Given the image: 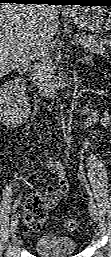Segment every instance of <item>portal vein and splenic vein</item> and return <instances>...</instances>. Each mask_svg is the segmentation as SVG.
Segmentation results:
<instances>
[{
	"instance_id": "1",
	"label": "portal vein and splenic vein",
	"mask_w": 111,
	"mask_h": 257,
	"mask_svg": "<svg viewBox=\"0 0 111 257\" xmlns=\"http://www.w3.org/2000/svg\"><path fill=\"white\" fill-rule=\"evenodd\" d=\"M77 42H78V43H80V42H81V40H80V39H77Z\"/></svg>"
}]
</instances>
